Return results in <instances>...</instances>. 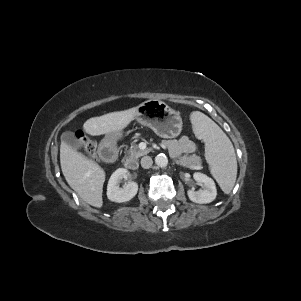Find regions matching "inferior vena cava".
Segmentation results:
<instances>
[{"instance_id": "1", "label": "inferior vena cava", "mask_w": 301, "mask_h": 301, "mask_svg": "<svg viewBox=\"0 0 301 301\" xmlns=\"http://www.w3.org/2000/svg\"><path fill=\"white\" fill-rule=\"evenodd\" d=\"M153 164V161H152V158L150 156H144L142 159H141V166L144 168V169H149Z\"/></svg>"}]
</instances>
